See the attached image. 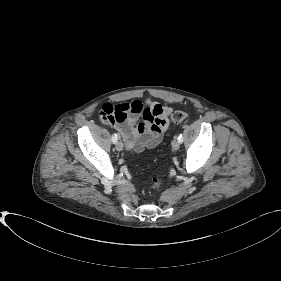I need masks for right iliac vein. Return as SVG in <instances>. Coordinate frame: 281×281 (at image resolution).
<instances>
[{
  "label": "right iliac vein",
  "instance_id": "right-iliac-vein-1",
  "mask_svg": "<svg viewBox=\"0 0 281 281\" xmlns=\"http://www.w3.org/2000/svg\"><path fill=\"white\" fill-rule=\"evenodd\" d=\"M116 150L117 151H122L123 150V143L121 141H117L115 144Z\"/></svg>",
  "mask_w": 281,
  "mask_h": 281
}]
</instances>
